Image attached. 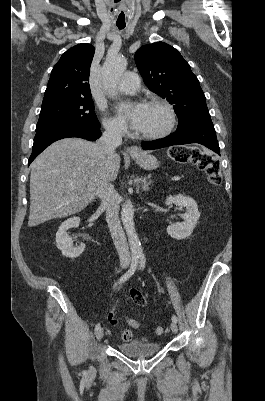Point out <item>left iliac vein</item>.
Instances as JSON below:
<instances>
[{"mask_svg":"<svg viewBox=\"0 0 265 401\" xmlns=\"http://www.w3.org/2000/svg\"><path fill=\"white\" fill-rule=\"evenodd\" d=\"M171 331L176 334L178 332V326L175 322H171L170 324Z\"/></svg>","mask_w":265,"mask_h":401,"instance_id":"left-iliac-vein-1","label":"left iliac vein"}]
</instances>
